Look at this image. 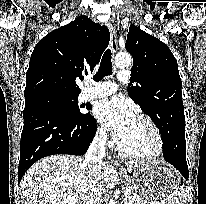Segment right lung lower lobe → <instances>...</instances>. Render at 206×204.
<instances>
[{
    "mask_svg": "<svg viewBox=\"0 0 206 204\" xmlns=\"http://www.w3.org/2000/svg\"><path fill=\"white\" fill-rule=\"evenodd\" d=\"M18 182L37 160L54 154L83 155L96 131L90 114L72 118L48 106L24 109Z\"/></svg>",
    "mask_w": 206,
    "mask_h": 204,
    "instance_id": "right-lung-lower-lobe-1",
    "label": "right lung lower lobe"
}]
</instances>
